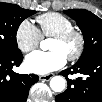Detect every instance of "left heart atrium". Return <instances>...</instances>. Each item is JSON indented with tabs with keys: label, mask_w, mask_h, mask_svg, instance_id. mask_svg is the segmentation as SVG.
<instances>
[{
	"label": "left heart atrium",
	"mask_w": 102,
	"mask_h": 102,
	"mask_svg": "<svg viewBox=\"0 0 102 102\" xmlns=\"http://www.w3.org/2000/svg\"><path fill=\"white\" fill-rule=\"evenodd\" d=\"M66 57L58 51H34L27 55L26 66L36 74H49L66 64Z\"/></svg>",
	"instance_id": "39dd6f15"
}]
</instances>
